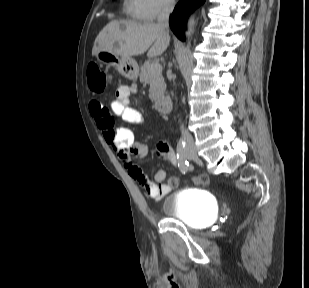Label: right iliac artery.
<instances>
[{"label": "right iliac artery", "instance_id": "82829eb1", "mask_svg": "<svg viewBox=\"0 0 309 288\" xmlns=\"http://www.w3.org/2000/svg\"><path fill=\"white\" fill-rule=\"evenodd\" d=\"M184 150H185V141L180 140L177 146V159H178V169L179 171L185 170V171H189V170H193L196 171L195 168H193V165H190L188 163V161L185 158L184 155Z\"/></svg>", "mask_w": 309, "mask_h": 288}]
</instances>
